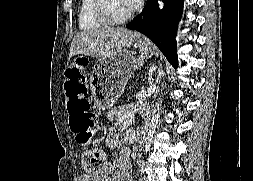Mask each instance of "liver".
I'll use <instances>...</instances> for the list:
<instances>
[{
	"label": "liver",
	"instance_id": "6515ba94",
	"mask_svg": "<svg viewBox=\"0 0 253 181\" xmlns=\"http://www.w3.org/2000/svg\"><path fill=\"white\" fill-rule=\"evenodd\" d=\"M139 33L122 27H100L76 34L71 42L69 59L82 55L104 59L130 47Z\"/></svg>",
	"mask_w": 253,
	"mask_h": 181
}]
</instances>
